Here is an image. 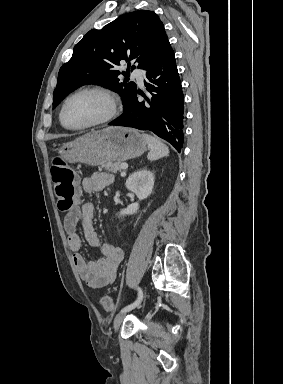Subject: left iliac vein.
Here are the masks:
<instances>
[{
	"instance_id": "obj_1",
	"label": "left iliac vein",
	"mask_w": 283,
	"mask_h": 384,
	"mask_svg": "<svg viewBox=\"0 0 283 384\" xmlns=\"http://www.w3.org/2000/svg\"><path fill=\"white\" fill-rule=\"evenodd\" d=\"M126 313L125 311H121L120 313H118L114 319V323H113V326H114V330L117 331L121 325V323L123 322V319L124 317L126 316Z\"/></svg>"
}]
</instances>
